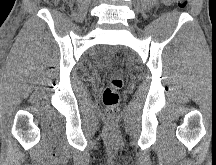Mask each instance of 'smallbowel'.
<instances>
[{
  "label": "small bowel",
  "mask_w": 216,
  "mask_h": 165,
  "mask_svg": "<svg viewBox=\"0 0 216 165\" xmlns=\"http://www.w3.org/2000/svg\"><path fill=\"white\" fill-rule=\"evenodd\" d=\"M164 1V3H166V4H170L173 0H163Z\"/></svg>",
  "instance_id": "1"
}]
</instances>
